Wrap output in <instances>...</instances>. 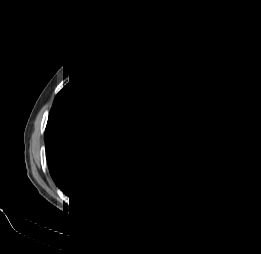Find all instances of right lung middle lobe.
Returning <instances> with one entry per match:
<instances>
[{
    "mask_svg": "<svg viewBox=\"0 0 261 254\" xmlns=\"http://www.w3.org/2000/svg\"><path fill=\"white\" fill-rule=\"evenodd\" d=\"M54 116L75 120L96 132L104 130L98 116L97 101L92 96V85H88L81 76L57 94L49 118Z\"/></svg>",
    "mask_w": 261,
    "mask_h": 254,
    "instance_id": "obj_1",
    "label": "right lung middle lobe"
}]
</instances>
